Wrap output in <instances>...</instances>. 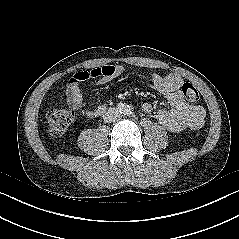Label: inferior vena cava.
Instances as JSON below:
<instances>
[{
  "label": "inferior vena cava",
  "mask_w": 239,
  "mask_h": 239,
  "mask_svg": "<svg viewBox=\"0 0 239 239\" xmlns=\"http://www.w3.org/2000/svg\"><path fill=\"white\" fill-rule=\"evenodd\" d=\"M120 117L119 111L116 108H109L103 115V120L106 123L115 122Z\"/></svg>",
  "instance_id": "602c4592"
}]
</instances>
